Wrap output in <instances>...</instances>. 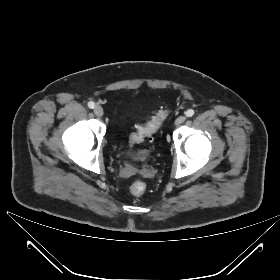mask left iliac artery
<instances>
[{
    "label": "left iliac artery",
    "instance_id": "44dca946",
    "mask_svg": "<svg viewBox=\"0 0 280 280\" xmlns=\"http://www.w3.org/2000/svg\"><path fill=\"white\" fill-rule=\"evenodd\" d=\"M194 113H195L194 110L189 109V110L186 111L185 114H186L187 117H192L194 115Z\"/></svg>",
    "mask_w": 280,
    "mask_h": 280
}]
</instances>
